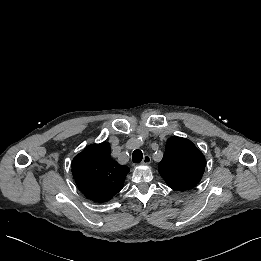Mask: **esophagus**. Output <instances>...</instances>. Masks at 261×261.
<instances>
[{
    "label": "esophagus",
    "instance_id": "esophagus-1",
    "mask_svg": "<svg viewBox=\"0 0 261 261\" xmlns=\"http://www.w3.org/2000/svg\"><path fill=\"white\" fill-rule=\"evenodd\" d=\"M151 163V157L149 155H145L143 158V164L148 165Z\"/></svg>",
    "mask_w": 261,
    "mask_h": 261
}]
</instances>
